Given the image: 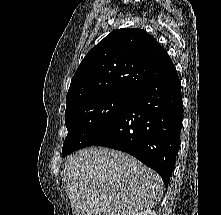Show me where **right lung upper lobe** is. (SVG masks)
Masks as SVG:
<instances>
[{
    "label": "right lung upper lobe",
    "mask_w": 221,
    "mask_h": 215,
    "mask_svg": "<svg viewBox=\"0 0 221 215\" xmlns=\"http://www.w3.org/2000/svg\"><path fill=\"white\" fill-rule=\"evenodd\" d=\"M173 65L165 49L146 31L114 30L81 61L66 106L101 95H132Z\"/></svg>",
    "instance_id": "right-lung-upper-lobe-1"
}]
</instances>
